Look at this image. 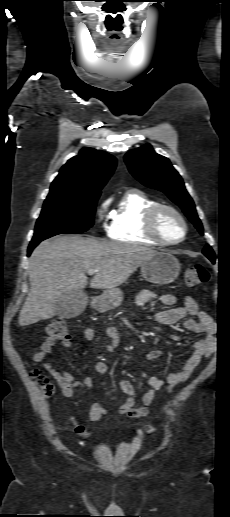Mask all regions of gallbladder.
<instances>
[{
  "mask_svg": "<svg viewBox=\"0 0 230 517\" xmlns=\"http://www.w3.org/2000/svg\"><path fill=\"white\" fill-rule=\"evenodd\" d=\"M87 301V294L82 290L65 292L55 301L56 315L60 318L76 317L84 311Z\"/></svg>",
  "mask_w": 230,
  "mask_h": 517,
  "instance_id": "gallbladder-1",
  "label": "gallbladder"
}]
</instances>
